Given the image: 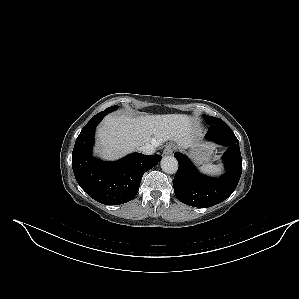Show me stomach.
<instances>
[{
    "instance_id": "1",
    "label": "stomach",
    "mask_w": 299,
    "mask_h": 299,
    "mask_svg": "<svg viewBox=\"0 0 299 299\" xmlns=\"http://www.w3.org/2000/svg\"><path fill=\"white\" fill-rule=\"evenodd\" d=\"M213 153L214 148L212 146H192L190 149V154L197 163L208 162L212 158Z\"/></svg>"
}]
</instances>
